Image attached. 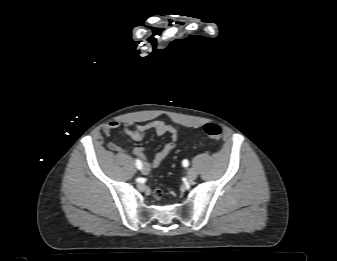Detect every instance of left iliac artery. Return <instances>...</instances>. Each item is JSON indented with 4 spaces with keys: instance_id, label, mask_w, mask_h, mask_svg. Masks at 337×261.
<instances>
[{
    "instance_id": "obj_1",
    "label": "left iliac artery",
    "mask_w": 337,
    "mask_h": 261,
    "mask_svg": "<svg viewBox=\"0 0 337 261\" xmlns=\"http://www.w3.org/2000/svg\"><path fill=\"white\" fill-rule=\"evenodd\" d=\"M182 165H183V167H188V165H189V162H188V160H183L182 161Z\"/></svg>"
}]
</instances>
